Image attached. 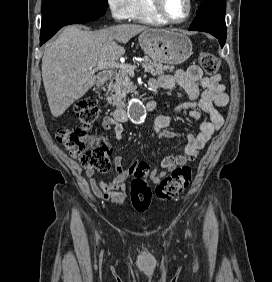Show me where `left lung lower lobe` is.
<instances>
[{"label":"left lung lower lobe","mask_w":272,"mask_h":282,"mask_svg":"<svg viewBox=\"0 0 272 282\" xmlns=\"http://www.w3.org/2000/svg\"><path fill=\"white\" fill-rule=\"evenodd\" d=\"M189 30L204 31L218 38L221 47L226 40L225 4L223 0H205Z\"/></svg>","instance_id":"left-lung-lower-lobe-1"}]
</instances>
